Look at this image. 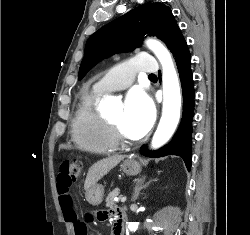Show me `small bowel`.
Segmentation results:
<instances>
[{
	"instance_id": "1",
	"label": "small bowel",
	"mask_w": 250,
	"mask_h": 235,
	"mask_svg": "<svg viewBox=\"0 0 250 235\" xmlns=\"http://www.w3.org/2000/svg\"><path fill=\"white\" fill-rule=\"evenodd\" d=\"M59 203L62 211V216L66 222L75 224L77 221L75 212L73 209L72 197L70 195V190H63L59 186L57 187ZM119 209H111L108 211H103L98 213V221H106L109 219L116 220Z\"/></svg>"
}]
</instances>
